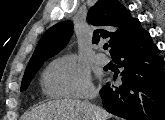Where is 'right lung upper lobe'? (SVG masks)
Returning a JSON list of instances; mask_svg holds the SVG:
<instances>
[{
  "label": "right lung upper lobe",
  "mask_w": 165,
  "mask_h": 120,
  "mask_svg": "<svg viewBox=\"0 0 165 120\" xmlns=\"http://www.w3.org/2000/svg\"><path fill=\"white\" fill-rule=\"evenodd\" d=\"M88 21L95 26L92 42L97 44L107 39L111 56L147 32L117 0H98L88 12ZM72 33L71 21H62L49 28L40 39L29 65L56 55L66 46Z\"/></svg>",
  "instance_id": "cb5924a9"
}]
</instances>
